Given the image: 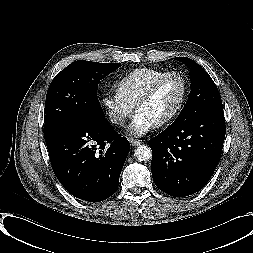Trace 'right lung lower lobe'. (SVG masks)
Returning <instances> with one entry per match:
<instances>
[{
    "mask_svg": "<svg viewBox=\"0 0 253 253\" xmlns=\"http://www.w3.org/2000/svg\"><path fill=\"white\" fill-rule=\"evenodd\" d=\"M46 144L53 171L70 194L99 202L116 192L130 144L107 120H76Z\"/></svg>",
    "mask_w": 253,
    "mask_h": 253,
    "instance_id": "1",
    "label": "right lung lower lobe"
}]
</instances>
